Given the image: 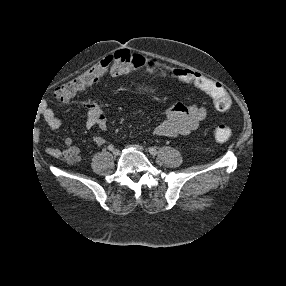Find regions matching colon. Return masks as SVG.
Segmentation results:
<instances>
[{"label": "colon", "instance_id": "colon-1", "mask_svg": "<svg viewBox=\"0 0 286 286\" xmlns=\"http://www.w3.org/2000/svg\"><path fill=\"white\" fill-rule=\"evenodd\" d=\"M131 72H147L157 77H173L182 82L194 84L212 97L218 111L225 112L232 107V99L220 83L194 71L172 68L128 50H120L107 56L80 75L63 83L55 91L54 96L59 102L67 103L79 91L89 87L103 76H117ZM213 137L219 143H226L232 137V129L228 125L219 124L213 129Z\"/></svg>", "mask_w": 286, "mask_h": 286}]
</instances>
